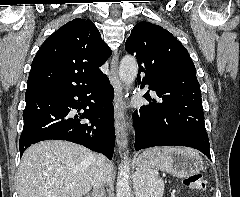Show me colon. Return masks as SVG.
<instances>
[{
  "instance_id": "5ec220e1",
  "label": "colon",
  "mask_w": 240,
  "mask_h": 197,
  "mask_svg": "<svg viewBox=\"0 0 240 197\" xmlns=\"http://www.w3.org/2000/svg\"><path fill=\"white\" fill-rule=\"evenodd\" d=\"M185 185L192 190H201L206 185V179L201 173H194L186 177Z\"/></svg>"
}]
</instances>
